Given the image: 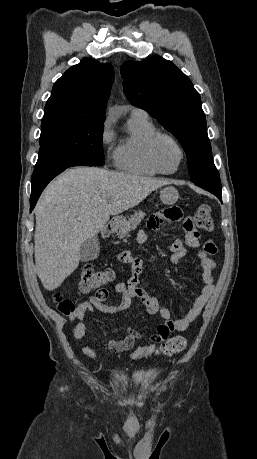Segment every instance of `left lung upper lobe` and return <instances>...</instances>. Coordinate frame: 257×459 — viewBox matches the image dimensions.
I'll use <instances>...</instances> for the list:
<instances>
[{"instance_id": "5c2ea615", "label": "left lung upper lobe", "mask_w": 257, "mask_h": 459, "mask_svg": "<svg viewBox=\"0 0 257 459\" xmlns=\"http://www.w3.org/2000/svg\"><path fill=\"white\" fill-rule=\"evenodd\" d=\"M121 76L131 104L147 111L179 140L187 153L188 171L194 184L221 195L200 95L190 79L172 62L159 56L125 62Z\"/></svg>"}]
</instances>
